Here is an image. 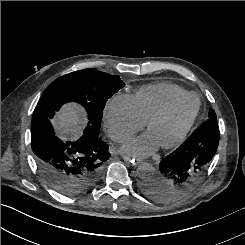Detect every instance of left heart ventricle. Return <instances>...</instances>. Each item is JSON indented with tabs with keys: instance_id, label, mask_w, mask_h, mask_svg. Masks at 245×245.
Returning a JSON list of instances; mask_svg holds the SVG:
<instances>
[{
	"instance_id": "b2bd125f",
	"label": "left heart ventricle",
	"mask_w": 245,
	"mask_h": 245,
	"mask_svg": "<svg viewBox=\"0 0 245 245\" xmlns=\"http://www.w3.org/2000/svg\"><path fill=\"white\" fill-rule=\"evenodd\" d=\"M197 100L190 98L178 105L167 117L156 122L148 130L159 145L174 140L193 117Z\"/></svg>"
}]
</instances>
